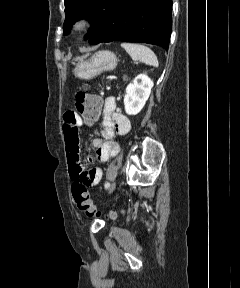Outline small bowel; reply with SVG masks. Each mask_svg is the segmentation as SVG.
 I'll use <instances>...</instances> for the list:
<instances>
[{
	"label": "small bowel",
	"mask_w": 240,
	"mask_h": 288,
	"mask_svg": "<svg viewBox=\"0 0 240 288\" xmlns=\"http://www.w3.org/2000/svg\"><path fill=\"white\" fill-rule=\"evenodd\" d=\"M85 122L80 115L68 110L63 115V132L66 142L67 159L71 180L85 187L97 185L102 178L100 168H87L80 158L79 127ZM131 128L130 120L117 110L116 99L108 96L103 102V129L101 136L92 141L95 148V158L106 162L119 151V145L114 141L115 136L126 135Z\"/></svg>",
	"instance_id": "small-bowel-1"
}]
</instances>
